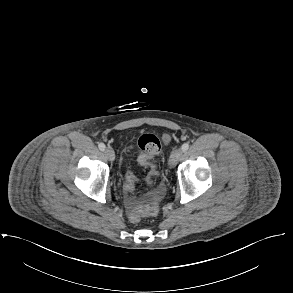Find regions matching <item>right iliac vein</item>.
<instances>
[{"label":"right iliac vein","mask_w":293,"mask_h":293,"mask_svg":"<svg viewBox=\"0 0 293 293\" xmlns=\"http://www.w3.org/2000/svg\"><path fill=\"white\" fill-rule=\"evenodd\" d=\"M105 156L108 158L109 161H114L115 159V152L112 148L108 147L104 150Z\"/></svg>","instance_id":"63e3f726"}]
</instances>
